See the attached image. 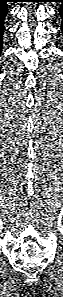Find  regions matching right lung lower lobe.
I'll return each mask as SVG.
<instances>
[{"label": "right lung lower lobe", "instance_id": "1", "mask_svg": "<svg viewBox=\"0 0 63 297\" xmlns=\"http://www.w3.org/2000/svg\"><path fill=\"white\" fill-rule=\"evenodd\" d=\"M9 0H0V53L3 45V33H4V19L8 13L7 2Z\"/></svg>", "mask_w": 63, "mask_h": 297}]
</instances>
